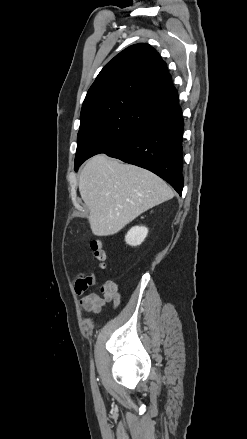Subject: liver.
<instances>
[{
    "label": "liver",
    "mask_w": 247,
    "mask_h": 439,
    "mask_svg": "<svg viewBox=\"0 0 247 439\" xmlns=\"http://www.w3.org/2000/svg\"><path fill=\"white\" fill-rule=\"evenodd\" d=\"M80 195L97 236L118 233L145 211L173 198L171 187L154 173L105 154L92 157L79 178Z\"/></svg>",
    "instance_id": "obj_1"
}]
</instances>
